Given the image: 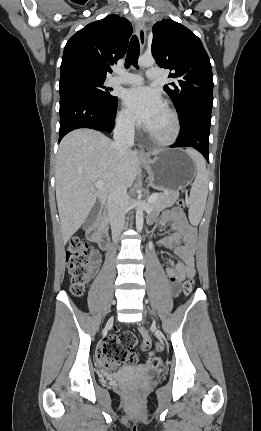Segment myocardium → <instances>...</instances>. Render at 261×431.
Segmentation results:
<instances>
[{"label":"myocardium","instance_id":"obj_1","mask_svg":"<svg viewBox=\"0 0 261 431\" xmlns=\"http://www.w3.org/2000/svg\"><path fill=\"white\" fill-rule=\"evenodd\" d=\"M164 109L166 110V112L168 113L172 121L171 132L166 136H160L147 128L146 133L149 136V138L152 140V142H154L155 144H158L161 146H169L174 144L178 139L180 130H181V125H180L179 116L173 108H171L168 105H165Z\"/></svg>","mask_w":261,"mask_h":431}]
</instances>
